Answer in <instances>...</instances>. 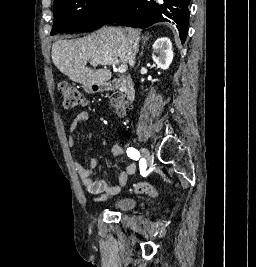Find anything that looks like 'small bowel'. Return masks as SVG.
<instances>
[{
    "mask_svg": "<svg viewBox=\"0 0 256 267\" xmlns=\"http://www.w3.org/2000/svg\"><path fill=\"white\" fill-rule=\"evenodd\" d=\"M89 116L88 113L82 111L78 113L75 118L71 121L69 129L71 132H75L78 129V126L86 122ZM68 146L73 148L75 146L74 137L68 138ZM123 153V147L119 144H116L111 149L112 158H117ZM88 168H85L78 161H74V169L78 174L84 188L86 191L92 195H98L97 201H103L107 198L116 195L120 190L126 185L128 178L133 175L137 170V162L132 161L128 166L122 169L118 174V185H113L106 180H99L95 178L97 169L99 167L98 160L94 158L86 159Z\"/></svg>",
    "mask_w": 256,
    "mask_h": 267,
    "instance_id": "obj_1",
    "label": "small bowel"
}]
</instances>
